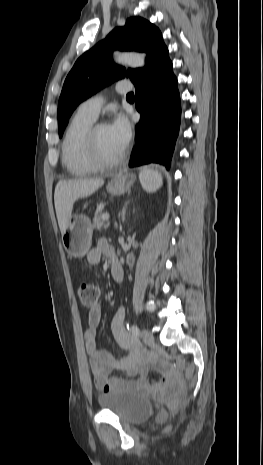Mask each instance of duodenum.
<instances>
[{"label": "duodenum", "mask_w": 263, "mask_h": 465, "mask_svg": "<svg viewBox=\"0 0 263 465\" xmlns=\"http://www.w3.org/2000/svg\"><path fill=\"white\" fill-rule=\"evenodd\" d=\"M111 260V273L112 277L116 282H120L123 279V268L117 257L114 255L110 258Z\"/></svg>", "instance_id": "duodenum-1"}]
</instances>
